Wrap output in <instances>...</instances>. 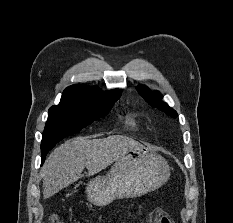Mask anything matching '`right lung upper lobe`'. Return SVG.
I'll use <instances>...</instances> for the list:
<instances>
[{"instance_id": "right-lung-upper-lobe-1", "label": "right lung upper lobe", "mask_w": 233, "mask_h": 223, "mask_svg": "<svg viewBox=\"0 0 233 223\" xmlns=\"http://www.w3.org/2000/svg\"><path fill=\"white\" fill-rule=\"evenodd\" d=\"M121 96V90L101 92L97 87L84 84L72 85L63 92L60 102H76L85 104H114Z\"/></svg>"}]
</instances>
